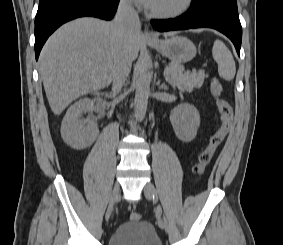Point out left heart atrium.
<instances>
[{
    "instance_id": "obj_1",
    "label": "left heart atrium",
    "mask_w": 283,
    "mask_h": 245,
    "mask_svg": "<svg viewBox=\"0 0 283 245\" xmlns=\"http://www.w3.org/2000/svg\"><path fill=\"white\" fill-rule=\"evenodd\" d=\"M133 1L147 8H150L154 2V0H133Z\"/></svg>"
}]
</instances>
